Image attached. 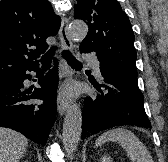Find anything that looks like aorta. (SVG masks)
<instances>
[{
	"instance_id": "762f6f07",
	"label": "aorta",
	"mask_w": 168,
	"mask_h": 162,
	"mask_svg": "<svg viewBox=\"0 0 168 162\" xmlns=\"http://www.w3.org/2000/svg\"><path fill=\"white\" fill-rule=\"evenodd\" d=\"M88 32V26L82 21H73L69 27L70 37L82 41ZM82 112L77 104L71 105L64 118L62 139L68 154L76 150L81 136Z\"/></svg>"
}]
</instances>
